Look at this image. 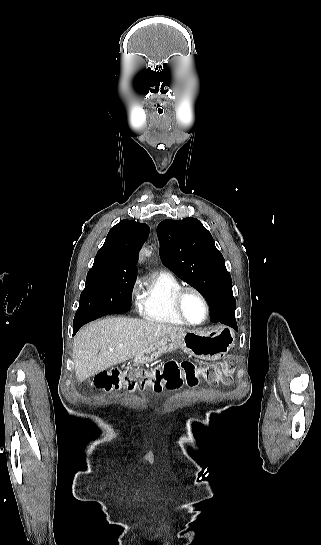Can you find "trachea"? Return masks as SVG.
<instances>
[{"label": "trachea", "instance_id": "obj_1", "mask_svg": "<svg viewBox=\"0 0 321 545\" xmlns=\"http://www.w3.org/2000/svg\"><path fill=\"white\" fill-rule=\"evenodd\" d=\"M155 112L158 113V115H163V108L161 106H156L155 107Z\"/></svg>", "mask_w": 321, "mask_h": 545}]
</instances>
